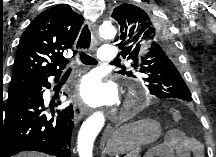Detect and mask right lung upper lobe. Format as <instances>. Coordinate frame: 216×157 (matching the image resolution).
I'll return each mask as SVG.
<instances>
[{"label":"right lung upper lobe","mask_w":216,"mask_h":157,"mask_svg":"<svg viewBox=\"0 0 216 157\" xmlns=\"http://www.w3.org/2000/svg\"><path fill=\"white\" fill-rule=\"evenodd\" d=\"M84 21L69 5L60 4L39 14L23 32L14 62L9 93L61 71Z\"/></svg>","instance_id":"obj_1"}]
</instances>
